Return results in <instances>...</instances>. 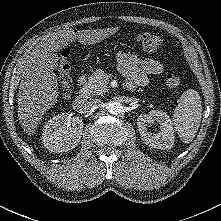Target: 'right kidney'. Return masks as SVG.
Segmentation results:
<instances>
[{"instance_id": "obj_1", "label": "right kidney", "mask_w": 221, "mask_h": 221, "mask_svg": "<svg viewBox=\"0 0 221 221\" xmlns=\"http://www.w3.org/2000/svg\"><path fill=\"white\" fill-rule=\"evenodd\" d=\"M82 131L81 118L71 117L67 113L58 114L44 126L42 134L44 146L55 153L72 150L80 142Z\"/></svg>"}]
</instances>
